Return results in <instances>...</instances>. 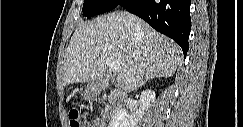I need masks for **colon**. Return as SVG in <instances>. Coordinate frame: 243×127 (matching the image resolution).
I'll return each mask as SVG.
<instances>
[{
    "mask_svg": "<svg viewBox=\"0 0 243 127\" xmlns=\"http://www.w3.org/2000/svg\"><path fill=\"white\" fill-rule=\"evenodd\" d=\"M69 125L70 127H84V122L76 109H71L69 112Z\"/></svg>",
    "mask_w": 243,
    "mask_h": 127,
    "instance_id": "1",
    "label": "colon"
}]
</instances>
